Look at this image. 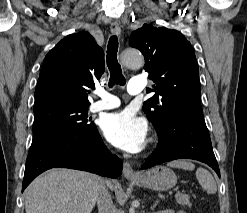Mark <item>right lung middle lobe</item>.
Wrapping results in <instances>:
<instances>
[{
  "mask_svg": "<svg viewBox=\"0 0 247 213\" xmlns=\"http://www.w3.org/2000/svg\"><path fill=\"white\" fill-rule=\"evenodd\" d=\"M88 106L70 102H54L34 111L33 136L41 131L78 128L86 132L96 130L88 119Z\"/></svg>",
  "mask_w": 247,
  "mask_h": 213,
  "instance_id": "obj_1",
  "label": "right lung middle lobe"
}]
</instances>
